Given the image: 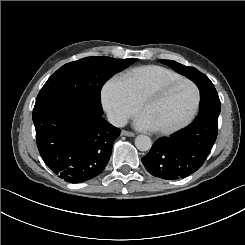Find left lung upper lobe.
<instances>
[{"label":"left lung upper lobe","mask_w":245,"mask_h":245,"mask_svg":"<svg viewBox=\"0 0 245 245\" xmlns=\"http://www.w3.org/2000/svg\"><path fill=\"white\" fill-rule=\"evenodd\" d=\"M159 61L163 64L172 67L175 71H177L180 74H183L184 76H186L187 78L195 82L196 84L198 82L209 79L206 75H204L194 67L184 66L172 60H159Z\"/></svg>","instance_id":"5c2ea615"}]
</instances>
